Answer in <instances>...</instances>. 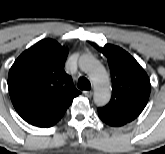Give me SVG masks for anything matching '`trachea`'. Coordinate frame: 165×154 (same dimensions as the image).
<instances>
[{"instance_id": "1", "label": "trachea", "mask_w": 165, "mask_h": 154, "mask_svg": "<svg viewBox=\"0 0 165 154\" xmlns=\"http://www.w3.org/2000/svg\"><path fill=\"white\" fill-rule=\"evenodd\" d=\"M77 86L81 90H90L91 84H90V81L86 77H81L78 80Z\"/></svg>"}]
</instances>
